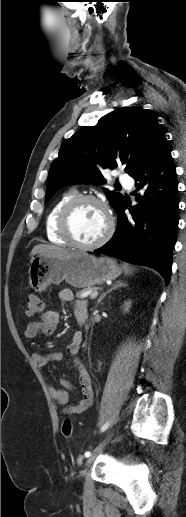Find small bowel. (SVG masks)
<instances>
[{
	"mask_svg": "<svg viewBox=\"0 0 186 517\" xmlns=\"http://www.w3.org/2000/svg\"><path fill=\"white\" fill-rule=\"evenodd\" d=\"M59 298L62 302L70 304L75 315L86 310L87 305L84 300H75L73 293L69 289H64L59 293ZM59 323V316L53 311H45L40 319L30 321L24 330V335L27 338H34L38 334L45 336L53 335ZM83 342V334L76 331L67 346V354L71 358V364L79 373V383L81 386V398L76 405H67L68 390L72 389V384L67 380H61L60 383L63 388H56L53 385H48V390L52 398L58 405L64 406L62 412L67 415H79L89 410L94 402V393L92 387V378L86 369L82 359L79 356V350ZM64 357L63 352H50L46 354L33 353L32 360L37 367L42 368L48 362L60 360Z\"/></svg>",
	"mask_w": 186,
	"mask_h": 517,
	"instance_id": "c3829d8e",
	"label": "small bowel"
}]
</instances>
